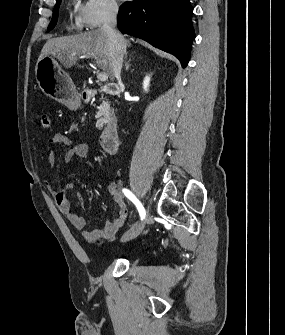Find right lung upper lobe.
<instances>
[{
    "mask_svg": "<svg viewBox=\"0 0 285 335\" xmlns=\"http://www.w3.org/2000/svg\"><path fill=\"white\" fill-rule=\"evenodd\" d=\"M61 3V0H56V4Z\"/></svg>",
    "mask_w": 285,
    "mask_h": 335,
    "instance_id": "obj_1",
    "label": "right lung upper lobe"
}]
</instances>
